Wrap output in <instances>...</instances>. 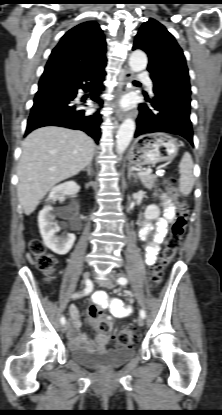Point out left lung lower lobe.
I'll list each match as a JSON object with an SVG mask.
<instances>
[{
    "mask_svg": "<svg viewBox=\"0 0 222 415\" xmlns=\"http://www.w3.org/2000/svg\"><path fill=\"white\" fill-rule=\"evenodd\" d=\"M154 96L150 104L139 105L134 137L153 132L177 134L193 145L190 121L191 90L189 75L178 70L152 73ZM146 100L148 96L145 94Z\"/></svg>",
    "mask_w": 222,
    "mask_h": 415,
    "instance_id": "0a47b994",
    "label": "left lung lower lobe"
}]
</instances>
